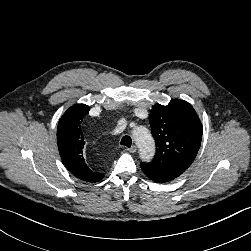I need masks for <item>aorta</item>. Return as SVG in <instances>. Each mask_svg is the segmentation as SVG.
Wrapping results in <instances>:
<instances>
[{
  "label": "aorta",
  "instance_id": "obj_1",
  "mask_svg": "<svg viewBox=\"0 0 251 251\" xmlns=\"http://www.w3.org/2000/svg\"><path fill=\"white\" fill-rule=\"evenodd\" d=\"M133 137L139 148V156L144 162H150L155 154V142L150 132L145 128H138Z\"/></svg>",
  "mask_w": 251,
  "mask_h": 251
}]
</instances>
